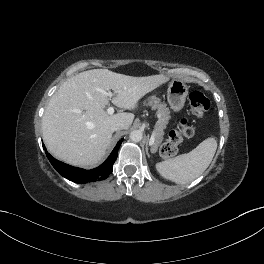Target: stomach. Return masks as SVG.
<instances>
[{"instance_id": "0dacf381", "label": "stomach", "mask_w": 264, "mask_h": 264, "mask_svg": "<svg viewBox=\"0 0 264 264\" xmlns=\"http://www.w3.org/2000/svg\"><path fill=\"white\" fill-rule=\"evenodd\" d=\"M188 95L187 85L180 79H173L168 87L167 100L173 111H179L185 104Z\"/></svg>"}]
</instances>
